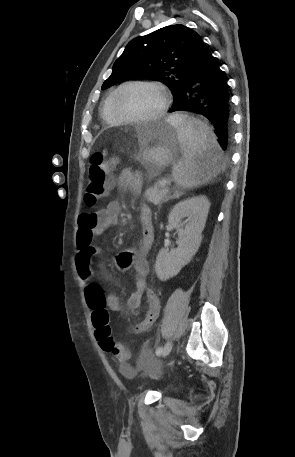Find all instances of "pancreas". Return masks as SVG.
Returning a JSON list of instances; mask_svg holds the SVG:
<instances>
[{"mask_svg": "<svg viewBox=\"0 0 295 457\" xmlns=\"http://www.w3.org/2000/svg\"><path fill=\"white\" fill-rule=\"evenodd\" d=\"M168 192V187L161 186L160 181H158L154 187L148 188L145 191V198L154 204H161V202L167 200Z\"/></svg>", "mask_w": 295, "mask_h": 457, "instance_id": "cf45deb5", "label": "pancreas"}]
</instances>
